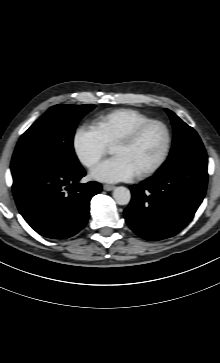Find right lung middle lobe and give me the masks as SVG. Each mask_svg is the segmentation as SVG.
Wrapping results in <instances>:
<instances>
[{"mask_svg":"<svg viewBox=\"0 0 220 363\" xmlns=\"http://www.w3.org/2000/svg\"><path fill=\"white\" fill-rule=\"evenodd\" d=\"M95 105L59 104L51 107L20 137L11 161L13 178L33 169L71 172L81 167L73 137L80 119Z\"/></svg>","mask_w":220,"mask_h":363,"instance_id":"right-lung-middle-lobe-1","label":"right lung middle lobe"}]
</instances>
